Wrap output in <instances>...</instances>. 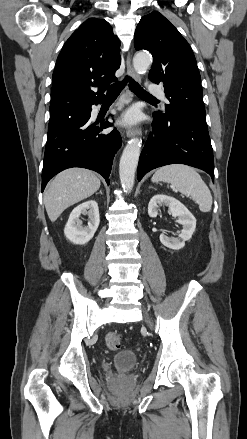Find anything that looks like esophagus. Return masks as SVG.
<instances>
[{
    "instance_id": "34e87169",
    "label": "esophagus",
    "mask_w": 247,
    "mask_h": 439,
    "mask_svg": "<svg viewBox=\"0 0 247 439\" xmlns=\"http://www.w3.org/2000/svg\"><path fill=\"white\" fill-rule=\"evenodd\" d=\"M126 67H127V72L129 74V76L136 81H140V76L137 74V72L135 71V69L132 66L130 53L127 56ZM140 134H141V130L139 128H128L126 130L127 137L138 136Z\"/></svg>"
}]
</instances>
